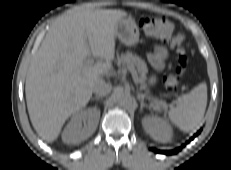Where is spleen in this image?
Instances as JSON below:
<instances>
[{"label":"spleen","instance_id":"1","mask_svg":"<svg viewBox=\"0 0 231 170\" xmlns=\"http://www.w3.org/2000/svg\"><path fill=\"white\" fill-rule=\"evenodd\" d=\"M168 111L170 121L180 130L189 132L200 127L207 105V86L199 84L190 93L179 97Z\"/></svg>","mask_w":231,"mask_h":170}]
</instances>
